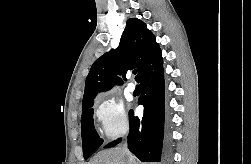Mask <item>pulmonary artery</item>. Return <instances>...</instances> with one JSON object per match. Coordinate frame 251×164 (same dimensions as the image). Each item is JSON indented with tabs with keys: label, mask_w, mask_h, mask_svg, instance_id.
<instances>
[{
	"label": "pulmonary artery",
	"mask_w": 251,
	"mask_h": 164,
	"mask_svg": "<svg viewBox=\"0 0 251 164\" xmlns=\"http://www.w3.org/2000/svg\"><path fill=\"white\" fill-rule=\"evenodd\" d=\"M127 90H128L129 92H134V91L136 90L135 84L132 83V82L128 83V84H127Z\"/></svg>",
	"instance_id": "obj_1"
}]
</instances>
